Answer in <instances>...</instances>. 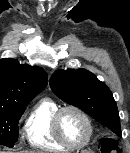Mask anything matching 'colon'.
Instances as JSON below:
<instances>
[{
    "mask_svg": "<svg viewBox=\"0 0 130 153\" xmlns=\"http://www.w3.org/2000/svg\"><path fill=\"white\" fill-rule=\"evenodd\" d=\"M101 151L103 153H114L118 151V146L112 138H105L102 142Z\"/></svg>",
    "mask_w": 130,
    "mask_h": 153,
    "instance_id": "obj_1",
    "label": "colon"
}]
</instances>
